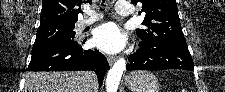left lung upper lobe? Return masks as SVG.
Instances as JSON below:
<instances>
[{"mask_svg":"<svg viewBox=\"0 0 225 92\" xmlns=\"http://www.w3.org/2000/svg\"><path fill=\"white\" fill-rule=\"evenodd\" d=\"M142 3L146 13L142 24L147 28L138 29L137 36L144 42L187 46L181 29L176 0H131Z\"/></svg>","mask_w":225,"mask_h":92,"instance_id":"left-lung-upper-lobe-1","label":"left lung upper lobe"}]
</instances>
